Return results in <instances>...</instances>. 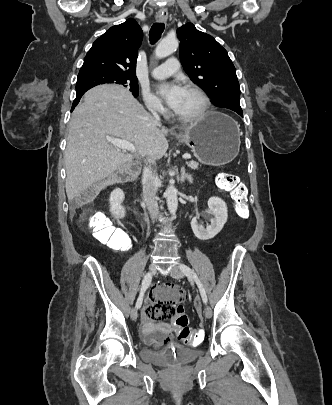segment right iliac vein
I'll use <instances>...</instances> for the list:
<instances>
[{
    "mask_svg": "<svg viewBox=\"0 0 332 405\" xmlns=\"http://www.w3.org/2000/svg\"><path fill=\"white\" fill-rule=\"evenodd\" d=\"M156 272V266L154 264L150 265L148 273L152 276ZM131 319L136 320L138 316L137 308H133L130 313Z\"/></svg>",
    "mask_w": 332,
    "mask_h": 405,
    "instance_id": "63e3f726",
    "label": "right iliac vein"
}]
</instances>
